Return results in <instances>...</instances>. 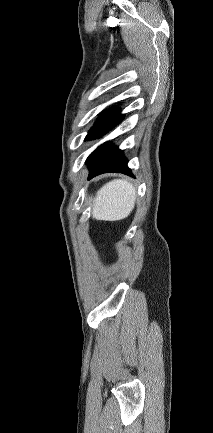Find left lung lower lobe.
<instances>
[{
    "label": "left lung lower lobe",
    "mask_w": 213,
    "mask_h": 433,
    "mask_svg": "<svg viewBox=\"0 0 213 433\" xmlns=\"http://www.w3.org/2000/svg\"><path fill=\"white\" fill-rule=\"evenodd\" d=\"M88 165L90 170L88 179L107 172H121L132 175L123 151L113 145L108 147V143H105L101 151Z\"/></svg>",
    "instance_id": "left-lung-lower-lobe-1"
}]
</instances>
